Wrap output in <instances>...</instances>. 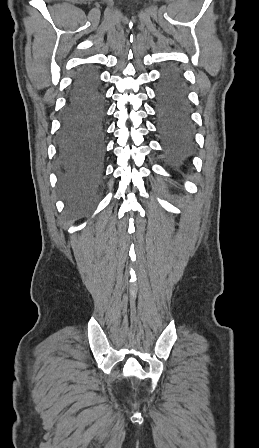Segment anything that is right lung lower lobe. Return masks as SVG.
<instances>
[{"mask_svg":"<svg viewBox=\"0 0 259 448\" xmlns=\"http://www.w3.org/2000/svg\"><path fill=\"white\" fill-rule=\"evenodd\" d=\"M105 96L97 71L74 77L57 135L56 166L63 184L89 187L102 176L105 160Z\"/></svg>","mask_w":259,"mask_h":448,"instance_id":"98d812e1","label":"right lung lower lobe"}]
</instances>
